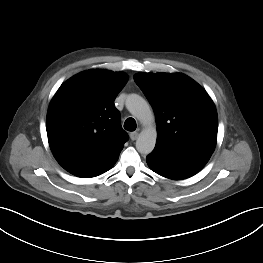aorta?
<instances>
[{"mask_svg": "<svg viewBox=\"0 0 263 263\" xmlns=\"http://www.w3.org/2000/svg\"><path fill=\"white\" fill-rule=\"evenodd\" d=\"M125 104L128 111L145 126L136 140V149L148 155L154 150L157 139L154 115L146 100L137 94L128 95Z\"/></svg>", "mask_w": 263, "mask_h": 263, "instance_id": "1", "label": "aorta"}]
</instances>
